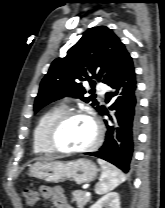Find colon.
<instances>
[{"instance_id":"5ec220e1","label":"colon","mask_w":165,"mask_h":208,"mask_svg":"<svg viewBox=\"0 0 165 208\" xmlns=\"http://www.w3.org/2000/svg\"><path fill=\"white\" fill-rule=\"evenodd\" d=\"M23 194H24L27 205L34 206L37 203L38 194L34 190L25 189Z\"/></svg>"}]
</instances>
